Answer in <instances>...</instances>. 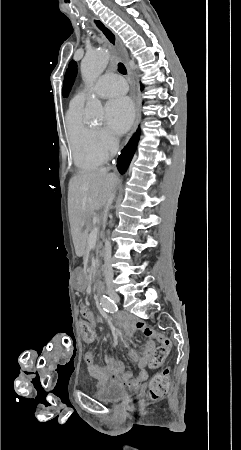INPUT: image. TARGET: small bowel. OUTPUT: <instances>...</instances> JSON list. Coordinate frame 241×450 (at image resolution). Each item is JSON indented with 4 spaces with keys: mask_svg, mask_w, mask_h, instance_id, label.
Returning <instances> with one entry per match:
<instances>
[{
    "mask_svg": "<svg viewBox=\"0 0 241 450\" xmlns=\"http://www.w3.org/2000/svg\"><path fill=\"white\" fill-rule=\"evenodd\" d=\"M82 316L85 321L82 324H94L95 316L94 314L86 307H82L81 309ZM82 331V330H81ZM137 331L143 332L145 335L149 337L156 338L159 342L163 340H169L150 329L146 323L141 320H136L133 323H127L124 325L122 335L131 337ZM96 334V333H95ZM91 352V351H90ZM155 353V342L152 339H149L146 342L145 349L142 355L139 357L135 350L128 349L127 354L132 362L137 364L139 369V373L137 376H134L132 372L125 371V366L123 362L114 360L108 356H104L103 365H98L95 361V356H84V360L87 365L88 373L95 378L101 384L113 383L124 385L131 389L138 388L142 383H144L149 377V371L147 369L148 364L153 358Z\"/></svg>",
    "mask_w": 241,
    "mask_h": 450,
    "instance_id": "obj_1",
    "label": "small bowel"
}]
</instances>
